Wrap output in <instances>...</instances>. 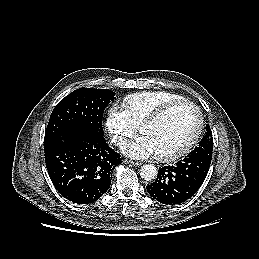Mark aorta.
<instances>
[{
    "label": "aorta",
    "instance_id": "762f6f07",
    "mask_svg": "<svg viewBox=\"0 0 259 259\" xmlns=\"http://www.w3.org/2000/svg\"><path fill=\"white\" fill-rule=\"evenodd\" d=\"M157 168L152 164H145L140 169V176L146 181H152L157 177Z\"/></svg>",
    "mask_w": 259,
    "mask_h": 259
}]
</instances>
